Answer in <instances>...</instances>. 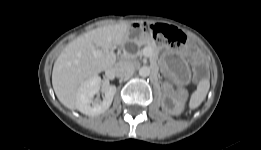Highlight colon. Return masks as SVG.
<instances>
[{
    "instance_id": "obj_1",
    "label": "colon",
    "mask_w": 261,
    "mask_h": 150,
    "mask_svg": "<svg viewBox=\"0 0 261 150\" xmlns=\"http://www.w3.org/2000/svg\"><path fill=\"white\" fill-rule=\"evenodd\" d=\"M143 29L152 33L154 38L160 43L172 48H179L186 42V37L182 32L168 25H145Z\"/></svg>"
}]
</instances>
